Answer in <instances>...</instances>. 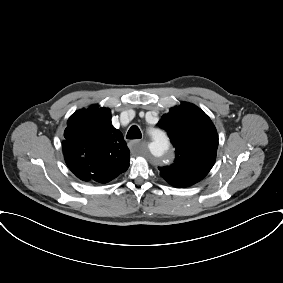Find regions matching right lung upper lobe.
I'll return each instance as SVG.
<instances>
[{"label": "right lung upper lobe", "instance_id": "cb5924a9", "mask_svg": "<svg viewBox=\"0 0 283 283\" xmlns=\"http://www.w3.org/2000/svg\"><path fill=\"white\" fill-rule=\"evenodd\" d=\"M64 137L66 163L84 181L107 183L129 167L130 151L122 133L111 125L108 108L75 112Z\"/></svg>", "mask_w": 283, "mask_h": 283}]
</instances>
